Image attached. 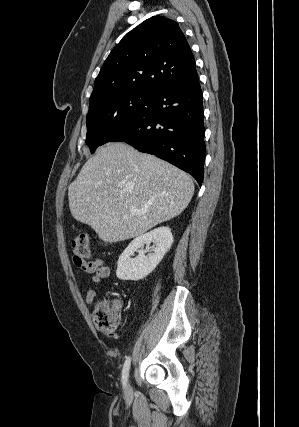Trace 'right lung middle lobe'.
<instances>
[{
	"label": "right lung middle lobe",
	"instance_id": "1",
	"mask_svg": "<svg viewBox=\"0 0 299 427\" xmlns=\"http://www.w3.org/2000/svg\"><path fill=\"white\" fill-rule=\"evenodd\" d=\"M154 94L122 92L90 104L86 143L91 153L124 132L144 114Z\"/></svg>",
	"mask_w": 299,
	"mask_h": 427
}]
</instances>
